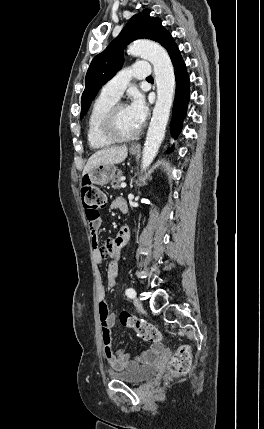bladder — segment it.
<instances>
[{
	"mask_svg": "<svg viewBox=\"0 0 264 429\" xmlns=\"http://www.w3.org/2000/svg\"><path fill=\"white\" fill-rule=\"evenodd\" d=\"M157 372L155 364L143 365L131 370L109 372V377L116 381L129 384H141L151 379Z\"/></svg>",
	"mask_w": 264,
	"mask_h": 429,
	"instance_id": "obj_1",
	"label": "bladder"
}]
</instances>
